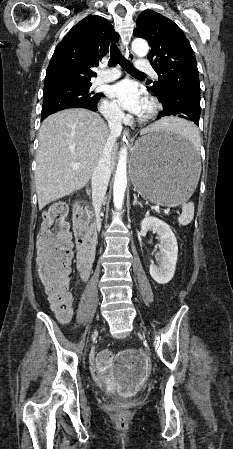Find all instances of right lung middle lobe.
Returning a JSON list of instances; mask_svg holds the SVG:
<instances>
[{
    "label": "right lung middle lobe",
    "instance_id": "dd1d6c3e",
    "mask_svg": "<svg viewBox=\"0 0 233 449\" xmlns=\"http://www.w3.org/2000/svg\"><path fill=\"white\" fill-rule=\"evenodd\" d=\"M90 87L91 84L71 85L44 92L42 116H48L67 108L96 109L102 94L94 93Z\"/></svg>",
    "mask_w": 233,
    "mask_h": 449
}]
</instances>
